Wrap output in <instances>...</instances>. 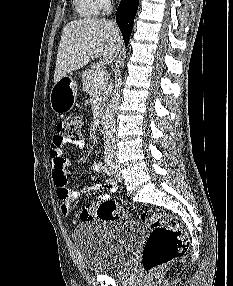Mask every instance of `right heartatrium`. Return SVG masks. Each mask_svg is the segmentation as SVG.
Here are the masks:
<instances>
[{"label":"right heart atrium","mask_w":233,"mask_h":286,"mask_svg":"<svg viewBox=\"0 0 233 286\" xmlns=\"http://www.w3.org/2000/svg\"><path fill=\"white\" fill-rule=\"evenodd\" d=\"M104 8H108L110 6V0H101Z\"/></svg>","instance_id":"obj_1"}]
</instances>
